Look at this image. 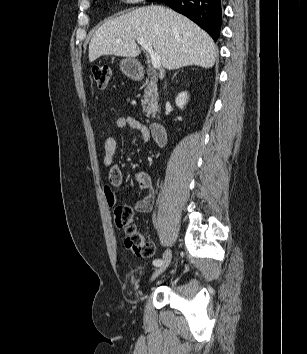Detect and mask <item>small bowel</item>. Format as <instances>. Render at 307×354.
<instances>
[{"instance_id": "1", "label": "small bowel", "mask_w": 307, "mask_h": 354, "mask_svg": "<svg viewBox=\"0 0 307 354\" xmlns=\"http://www.w3.org/2000/svg\"><path fill=\"white\" fill-rule=\"evenodd\" d=\"M115 126L117 129L131 128L140 133L143 141L148 140L150 136L149 128L138 121L137 119L124 116L116 120ZM104 158L103 165L108 169V179L104 186V195L107 204L113 207L117 203L115 189L122 184V173L118 166L114 163V154L117 149V141L115 137L108 136L104 141ZM139 190H148V194L135 204V209L142 213L150 212L155 202V191L152 188L151 177L147 172L139 171L133 176Z\"/></svg>"}]
</instances>
